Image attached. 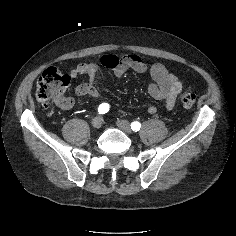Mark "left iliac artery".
I'll return each mask as SVG.
<instances>
[{
    "mask_svg": "<svg viewBox=\"0 0 236 236\" xmlns=\"http://www.w3.org/2000/svg\"><path fill=\"white\" fill-rule=\"evenodd\" d=\"M141 128V124L139 122H132L131 123V129L135 132L139 131Z\"/></svg>",
    "mask_w": 236,
    "mask_h": 236,
    "instance_id": "obj_1",
    "label": "left iliac artery"
}]
</instances>
